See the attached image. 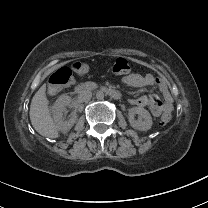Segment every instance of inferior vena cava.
Wrapping results in <instances>:
<instances>
[{"label": "inferior vena cava", "mask_w": 208, "mask_h": 208, "mask_svg": "<svg viewBox=\"0 0 208 208\" xmlns=\"http://www.w3.org/2000/svg\"><path fill=\"white\" fill-rule=\"evenodd\" d=\"M92 97V93L89 90H82L78 95V100L81 102H88Z\"/></svg>", "instance_id": "inferior-vena-cava-1"}]
</instances>
